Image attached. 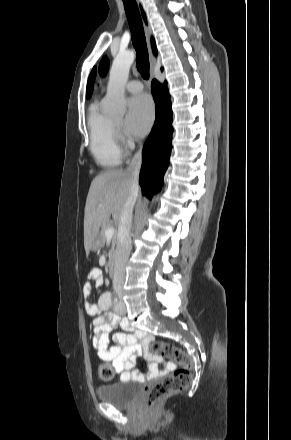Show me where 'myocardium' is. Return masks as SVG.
Returning <instances> with one entry per match:
<instances>
[{"instance_id":"1","label":"myocardium","mask_w":291,"mask_h":440,"mask_svg":"<svg viewBox=\"0 0 291 440\" xmlns=\"http://www.w3.org/2000/svg\"><path fill=\"white\" fill-rule=\"evenodd\" d=\"M113 127L115 130L116 138H121V124H117L113 121Z\"/></svg>"}]
</instances>
